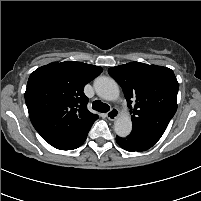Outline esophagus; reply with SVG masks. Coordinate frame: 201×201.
<instances>
[{"label": "esophagus", "mask_w": 201, "mask_h": 201, "mask_svg": "<svg viewBox=\"0 0 201 201\" xmlns=\"http://www.w3.org/2000/svg\"><path fill=\"white\" fill-rule=\"evenodd\" d=\"M106 115L109 120L113 121L119 116V111L116 108H112Z\"/></svg>", "instance_id": "34e87169"}]
</instances>
